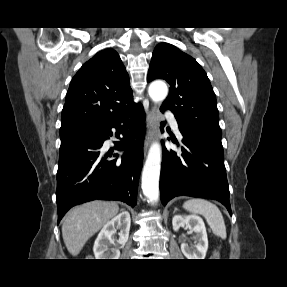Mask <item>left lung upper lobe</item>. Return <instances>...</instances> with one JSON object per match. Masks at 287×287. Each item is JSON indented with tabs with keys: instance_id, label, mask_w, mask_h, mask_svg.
Wrapping results in <instances>:
<instances>
[{
	"instance_id": "left-lung-upper-lobe-1",
	"label": "left lung upper lobe",
	"mask_w": 287,
	"mask_h": 287,
	"mask_svg": "<svg viewBox=\"0 0 287 287\" xmlns=\"http://www.w3.org/2000/svg\"><path fill=\"white\" fill-rule=\"evenodd\" d=\"M154 79H164L170 85L161 110H170L179 128L223 148L216 96L196 60L171 44L160 43L148 72V81Z\"/></svg>"
}]
</instances>
